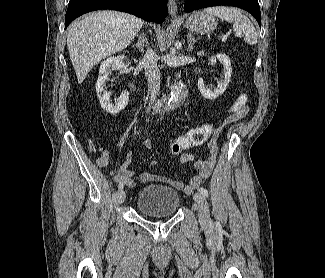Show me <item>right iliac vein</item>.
Here are the masks:
<instances>
[{
    "label": "right iliac vein",
    "mask_w": 325,
    "mask_h": 278,
    "mask_svg": "<svg viewBox=\"0 0 325 278\" xmlns=\"http://www.w3.org/2000/svg\"><path fill=\"white\" fill-rule=\"evenodd\" d=\"M125 197H126L125 191L123 189H119L116 193V198H117L118 203H120V204L123 203L125 200Z\"/></svg>",
    "instance_id": "1"
}]
</instances>
